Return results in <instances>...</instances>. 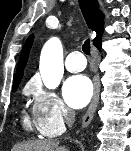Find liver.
<instances>
[{
	"label": "liver",
	"mask_w": 131,
	"mask_h": 151,
	"mask_svg": "<svg viewBox=\"0 0 131 151\" xmlns=\"http://www.w3.org/2000/svg\"><path fill=\"white\" fill-rule=\"evenodd\" d=\"M13 151H68V148L59 146L58 141L37 140L16 145Z\"/></svg>",
	"instance_id": "obj_1"
}]
</instances>
